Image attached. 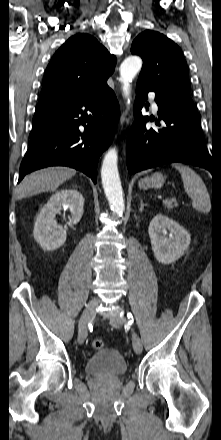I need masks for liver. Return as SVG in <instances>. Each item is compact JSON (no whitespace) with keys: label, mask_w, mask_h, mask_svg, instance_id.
<instances>
[{"label":"liver","mask_w":221,"mask_h":440,"mask_svg":"<svg viewBox=\"0 0 221 440\" xmlns=\"http://www.w3.org/2000/svg\"><path fill=\"white\" fill-rule=\"evenodd\" d=\"M75 173L74 169L68 167H50L36 171L22 180L17 189L18 198L54 191Z\"/></svg>","instance_id":"6515ba94"}]
</instances>
